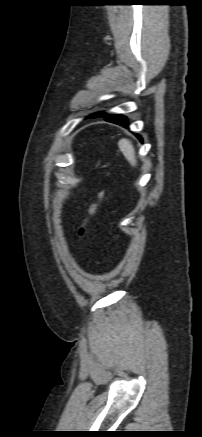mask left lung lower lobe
<instances>
[{
    "mask_svg": "<svg viewBox=\"0 0 202 437\" xmlns=\"http://www.w3.org/2000/svg\"><path fill=\"white\" fill-rule=\"evenodd\" d=\"M103 117L108 122H112V123H115V124H118V125H121L123 127L128 128V120L123 115H117V114L116 115H105ZM136 136L139 140L142 141V138L138 134H136Z\"/></svg>",
    "mask_w": 202,
    "mask_h": 437,
    "instance_id": "obj_1",
    "label": "left lung lower lobe"
}]
</instances>
